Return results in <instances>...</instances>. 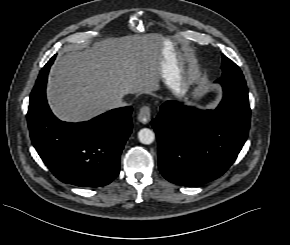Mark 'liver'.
<instances>
[{"instance_id": "6515ba94", "label": "liver", "mask_w": 290, "mask_h": 245, "mask_svg": "<svg viewBox=\"0 0 290 245\" xmlns=\"http://www.w3.org/2000/svg\"><path fill=\"white\" fill-rule=\"evenodd\" d=\"M181 71L169 39L160 44L139 35L106 38L57 59L47 85L48 102L61 120L84 121L112 109L117 97L155 89L161 79L183 94Z\"/></svg>"}]
</instances>
